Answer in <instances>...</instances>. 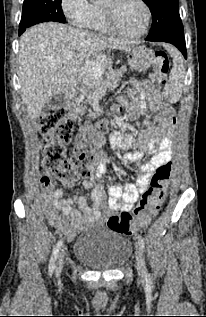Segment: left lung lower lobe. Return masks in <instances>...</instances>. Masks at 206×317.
<instances>
[{"label":"left lung lower lobe","instance_id":"obj_1","mask_svg":"<svg viewBox=\"0 0 206 317\" xmlns=\"http://www.w3.org/2000/svg\"><path fill=\"white\" fill-rule=\"evenodd\" d=\"M161 42H167V43L173 44L182 52L184 57L187 58L185 39H166V40H163Z\"/></svg>","mask_w":206,"mask_h":317}]
</instances>
